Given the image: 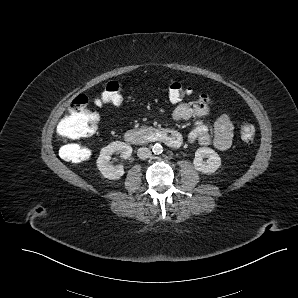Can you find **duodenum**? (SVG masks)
Returning <instances> with one entry per match:
<instances>
[{
  "label": "duodenum",
  "mask_w": 298,
  "mask_h": 298,
  "mask_svg": "<svg viewBox=\"0 0 298 298\" xmlns=\"http://www.w3.org/2000/svg\"><path fill=\"white\" fill-rule=\"evenodd\" d=\"M124 139L132 145H145L162 142L170 147L178 148L182 143L181 135L171 129H130L124 133Z\"/></svg>",
  "instance_id": "1"
}]
</instances>
